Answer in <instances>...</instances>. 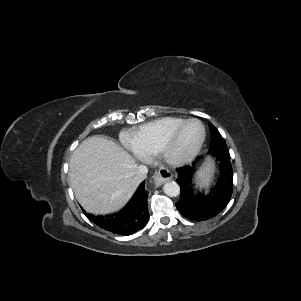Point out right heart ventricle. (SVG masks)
I'll use <instances>...</instances> for the list:
<instances>
[{
  "mask_svg": "<svg viewBox=\"0 0 301 301\" xmlns=\"http://www.w3.org/2000/svg\"><path fill=\"white\" fill-rule=\"evenodd\" d=\"M183 121L185 119L180 117H163L150 121L130 131L127 135L128 142L142 155H155L164 137Z\"/></svg>",
  "mask_w": 301,
  "mask_h": 301,
  "instance_id": "obj_1",
  "label": "right heart ventricle"
}]
</instances>
